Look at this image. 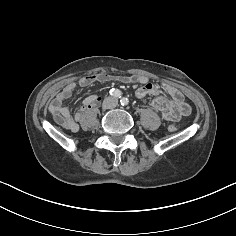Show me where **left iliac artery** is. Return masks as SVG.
Wrapping results in <instances>:
<instances>
[{
  "instance_id": "1",
  "label": "left iliac artery",
  "mask_w": 236,
  "mask_h": 236,
  "mask_svg": "<svg viewBox=\"0 0 236 236\" xmlns=\"http://www.w3.org/2000/svg\"><path fill=\"white\" fill-rule=\"evenodd\" d=\"M120 102H121V105L126 106L129 101H128L127 98L123 97V98L120 100Z\"/></svg>"
}]
</instances>
